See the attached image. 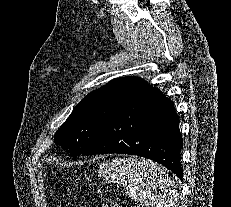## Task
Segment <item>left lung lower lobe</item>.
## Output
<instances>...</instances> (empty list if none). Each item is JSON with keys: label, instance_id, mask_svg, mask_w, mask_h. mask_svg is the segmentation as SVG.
Here are the masks:
<instances>
[{"label": "left lung lower lobe", "instance_id": "obj_1", "mask_svg": "<svg viewBox=\"0 0 231 207\" xmlns=\"http://www.w3.org/2000/svg\"><path fill=\"white\" fill-rule=\"evenodd\" d=\"M181 148L173 102L146 83L106 122L83 155H139L164 165L182 179Z\"/></svg>", "mask_w": 231, "mask_h": 207}]
</instances>
